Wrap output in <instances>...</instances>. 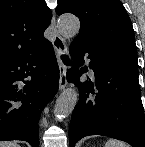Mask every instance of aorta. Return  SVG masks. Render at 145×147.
I'll list each match as a JSON object with an SVG mask.
<instances>
[{
    "label": "aorta",
    "mask_w": 145,
    "mask_h": 147,
    "mask_svg": "<svg viewBox=\"0 0 145 147\" xmlns=\"http://www.w3.org/2000/svg\"><path fill=\"white\" fill-rule=\"evenodd\" d=\"M58 29L64 37H73L79 32L80 22L73 15H62L58 19ZM78 96L79 94L73 87L67 88L62 92L56 100L54 108L55 117L58 120L69 116L73 112L78 102Z\"/></svg>",
    "instance_id": "762f6f07"
}]
</instances>
